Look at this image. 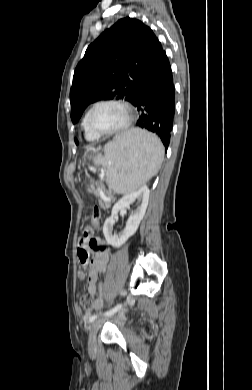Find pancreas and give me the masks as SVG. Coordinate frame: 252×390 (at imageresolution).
Here are the masks:
<instances>
[{
    "label": "pancreas",
    "mask_w": 252,
    "mask_h": 390,
    "mask_svg": "<svg viewBox=\"0 0 252 390\" xmlns=\"http://www.w3.org/2000/svg\"><path fill=\"white\" fill-rule=\"evenodd\" d=\"M100 205H101V207L108 209L111 206V202H105L104 197H103V198H101Z\"/></svg>",
    "instance_id": "cf45deb5"
}]
</instances>
